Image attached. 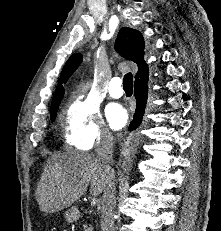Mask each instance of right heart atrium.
<instances>
[{"mask_svg": "<svg viewBox=\"0 0 221 231\" xmlns=\"http://www.w3.org/2000/svg\"><path fill=\"white\" fill-rule=\"evenodd\" d=\"M65 139L79 150H91L111 140L98 106L90 98L76 96L70 103L66 113Z\"/></svg>", "mask_w": 221, "mask_h": 231, "instance_id": "obj_1", "label": "right heart atrium"}]
</instances>
